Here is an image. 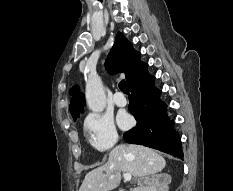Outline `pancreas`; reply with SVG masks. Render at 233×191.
<instances>
[{
	"label": "pancreas",
	"mask_w": 233,
	"mask_h": 191,
	"mask_svg": "<svg viewBox=\"0 0 233 191\" xmlns=\"http://www.w3.org/2000/svg\"><path fill=\"white\" fill-rule=\"evenodd\" d=\"M132 191H140V190H138V189H133Z\"/></svg>",
	"instance_id": "pancreas-1"
}]
</instances>
